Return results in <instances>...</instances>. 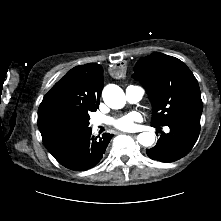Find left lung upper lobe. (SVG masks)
<instances>
[{"label": "left lung upper lobe", "instance_id": "1", "mask_svg": "<svg viewBox=\"0 0 221 221\" xmlns=\"http://www.w3.org/2000/svg\"><path fill=\"white\" fill-rule=\"evenodd\" d=\"M133 77L145 87L153 105L152 125L165 126L172 119L202 114L198 82L181 60L162 53L141 58Z\"/></svg>", "mask_w": 221, "mask_h": 221}]
</instances>
